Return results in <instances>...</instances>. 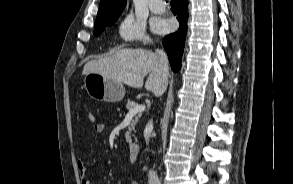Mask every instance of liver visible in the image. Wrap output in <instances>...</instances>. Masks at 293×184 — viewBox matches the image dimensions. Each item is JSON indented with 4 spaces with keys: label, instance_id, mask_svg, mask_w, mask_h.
Instances as JSON below:
<instances>
[{
    "label": "liver",
    "instance_id": "6515ba94",
    "mask_svg": "<svg viewBox=\"0 0 293 184\" xmlns=\"http://www.w3.org/2000/svg\"><path fill=\"white\" fill-rule=\"evenodd\" d=\"M88 73H98L133 88H141L149 74L145 88L154 94L162 88L157 55L144 49H121L112 56L91 60L83 69L84 75Z\"/></svg>",
    "mask_w": 293,
    "mask_h": 184
}]
</instances>
